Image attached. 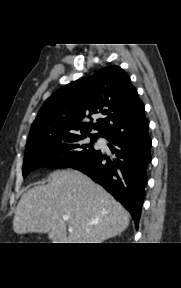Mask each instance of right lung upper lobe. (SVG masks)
<instances>
[{
  "instance_id": "obj_1",
  "label": "right lung upper lobe",
  "mask_w": 181,
  "mask_h": 288,
  "mask_svg": "<svg viewBox=\"0 0 181 288\" xmlns=\"http://www.w3.org/2000/svg\"><path fill=\"white\" fill-rule=\"evenodd\" d=\"M92 114H102L103 118L98 123H84ZM148 127L144 104L130 77L120 67L109 66L50 96L33 122L27 141L54 133L135 138L144 135ZM92 130L98 133L89 134Z\"/></svg>"
}]
</instances>
